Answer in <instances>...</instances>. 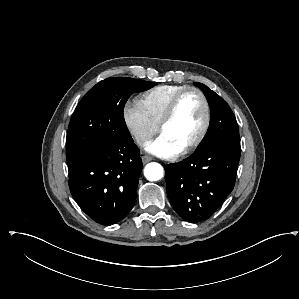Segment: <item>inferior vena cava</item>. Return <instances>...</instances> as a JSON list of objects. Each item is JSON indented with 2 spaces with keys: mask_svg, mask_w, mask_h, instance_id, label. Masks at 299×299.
Here are the masks:
<instances>
[{
  "mask_svg": "<svg viewBox=\"0 0 299 299\" xmlns=\"http://www.w3.org/2000/svg\"><path fill=\"white\" fill-rule=\"evenodd\" d=\"M136 139L138 143H143L144 141L147 140V137L145 135H140Z\"/></svg>",
  "mask_w": 299,
  "mask_h": 299,
  "instance_id": "inferior-vena-cava-1",
  "label": "inferior vena cava"
}]
</instances>
